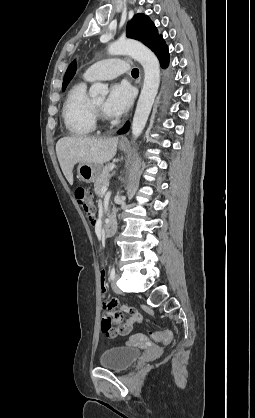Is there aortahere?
<instances>
[{
	"mask_svg": "<svg viewBox=\"0 0 255 418\" xmlns=\"http://www.w3.org/2000/svg\"><path fill=\"white\" fill-rule=\"evenodd\" d=\"M110 55L128 54L139 61L144 69V83L132 122V135L136 139L142 133L151 112L160 83V65L155 54L143 44L134 40H119L108 48ZM90 96L102 99L108 93V87L95 83L90 88Z\"/></svg>",
	"mask_w": 255,
	"mask_h": 418,
	"instance_id": "762f6f07",
	"label": "aorta"
}]
</instances>
